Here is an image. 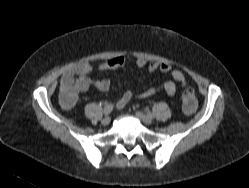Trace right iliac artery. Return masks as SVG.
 I'll return each mask as SVG.
<instances>
[{
    "mask_svg": "<svg viewBox=\"0 0 249 188\" xmlns=\"http://www.w3.org/2000/svg\"><path fill=\"white\" fill-rule=\"evenodd\" d=\"M113 109H114V105L112 103L106 104L105 107H104V114L106 116L109 115L112 112Z\"/></svg>",
    "mask_w": 249,
    "mask_h": 188,
    "instance_id": "1",
    "label": "right iliac artery"
}]
</instances>
